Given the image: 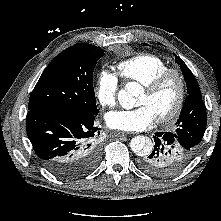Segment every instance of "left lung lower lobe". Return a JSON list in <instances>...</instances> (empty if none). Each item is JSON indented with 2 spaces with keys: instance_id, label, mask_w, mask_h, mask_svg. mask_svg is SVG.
Segmentation results:
<instances>
[{
  "instance_id": "1",
  "label": "left lung lower lobe",
  "mask_w": 221,
  "mask_h": 221,
  "mask_svg": "<svg viewBox=\"0 0 221 221\" xmlns=\"http://www.w3.org/2000/svg\"><path fill=\"white\" fill-rule=\"evenodd\" d=\"M153 138L154 148L138 163L143 171L151 175H174L185 168L196 153L174 132H156Z\"/></svg>"
}]
</instances>
